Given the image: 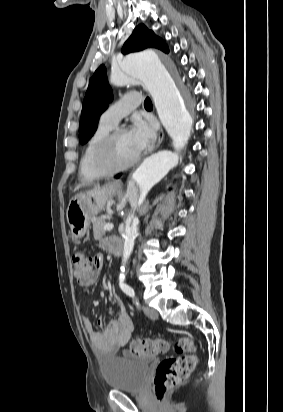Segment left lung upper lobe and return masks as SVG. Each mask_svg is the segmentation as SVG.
I'll return each instance as SVG.
<instances>
[{
  "label": "left lung upper lobe",
  "instance_id": "1",
  "mask_svg": "<svg viewBox=\"0 0 283 412\" xmlns=\"http://www.w3.org/2000/svg\"><path fill=\"white\" fill-rule=\"evenodd\" d=\"M146 48H157L165 53L169 52L165 41L156 36L153 31L141 24L136 27L132 35L124 43L122 53L141 51ZM113 99L110 86L107 82L105 67L101 65L90 79L80 118L79 141L84 144L97 129L96 120L107 108V102Z\"/></svg>",
  "mask_w": 283,
  "mask_h": 412
}]
</instances>
